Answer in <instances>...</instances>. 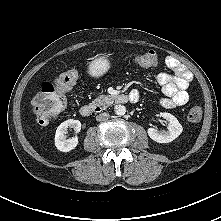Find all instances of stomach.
<instances>
[{"mask_svg": "<svg viewBox=\"0 0 221 221\" xmlns=\"http://www.w3.org/2000/svg\"><path fill=\"white\" fill-rule=\"evenodd\" d=\"M110 69V61L106 55H98L88 66L89 74L93 77H101Z\"/></svg>", "mask_w": 221, "mask_h": 221, "instance_id": "0dacf381", "label": "stomach"}]
</instances>
